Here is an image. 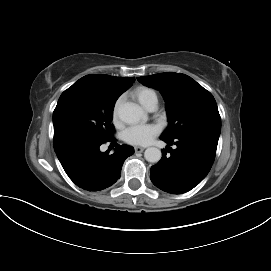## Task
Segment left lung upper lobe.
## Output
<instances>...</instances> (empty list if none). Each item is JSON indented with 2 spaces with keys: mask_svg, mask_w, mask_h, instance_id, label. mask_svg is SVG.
<instances>
[{
  "mask_svg": "<svg viewBox=\"0 0 271 271\" xmlns=\"http://www.w3.org/2000/svg\"><path fill=\"white\" fill-rule=\"evenodd\" d=\"M160 90L166 101L169 126L162 138L173 140L186 134L220 135L221 118L212 94L191 77L173 72L138 77Z\"/></svg>",
  "mask_w": 271,
  "mask_h": 271,
  "instance_id": "1",
  "label": "left lung upper lobe"
}]
</instances>
